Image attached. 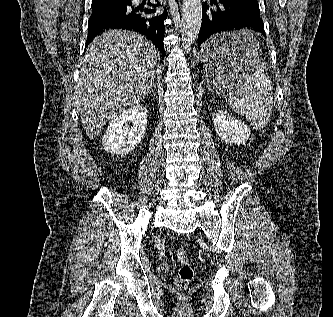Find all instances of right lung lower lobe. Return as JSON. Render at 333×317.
I'll return each instance as SVG.
<instances>
[{
	"mask_svg": "<svg viewBox=\"0 0 333 317\" xmlns=\"http://www.w3.org/2000/svg\"><path fill=\"white\" fill-rule=\"evenodd\" d=\"M148 4L154 8L161 5L160 3L153 5L149 1ZM143 11L148 14L155 12V9L143 10L140 7H133L131 0L120 4L92 6V14L88 23L87 44L104 30L125 29L142 33L164 54L165 26L163 22L167 18V11L165 9L163 14L155 17H146L142 14Z\"/></svg>",
	"mask_w": 333,
	"mask_h": 317,
	"instance_id": "obj_1",
	"label": "right lung lower lobe"
}]
</instances>
